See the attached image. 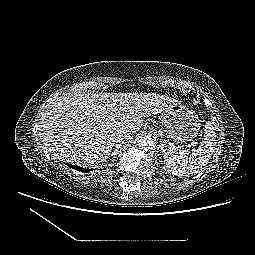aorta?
Wrapping results in <instances>:
<instances>
[{
	"label": "aorta",
	"instance_id": "obj_1",
	"mask_svg": "<svg viewBox=\"0 0 255 255\" xmlns=\"http://www.w3.org/2000/svg\"><path fill=\"white\" fill-rule=\"evenodd\" d=\"M137 144L142 149H150L153 146V140L148 135L139 136Z\"/></svg>",
	"mask_w": 255,
	"mask_h": 255
}]
</instances>
